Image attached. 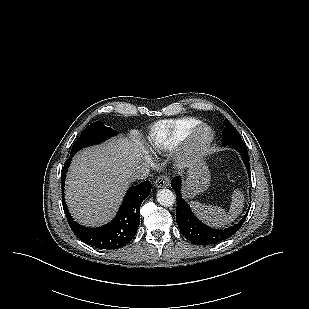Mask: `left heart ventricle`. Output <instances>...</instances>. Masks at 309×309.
<instances>
[{"mask_svg": "<svg viewBox=\"0 0 309 309\" xmlns=\"http://www.w3.org/2000/svg\"><path fill=\"white\" fill-rule=\"evenodd\" d=\"M208 136V131L207 130H203L201 131V133L199 134L200 139H206Z\"/></svg>", "mask_w": 309, "mask_h": 309, "instance_id": "b2bd125f", "label": "left heart ventricle"}]
</instances>
